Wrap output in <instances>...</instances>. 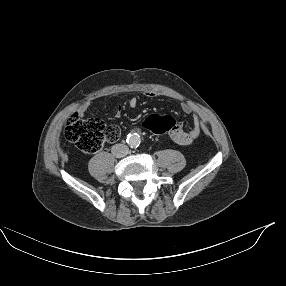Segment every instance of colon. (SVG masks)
<instances>
[{"label":"colon","mask_w":286,"mask_h":286,"mask_svg":"<svg viewBox=\"0 0 286 286\" xmlns=\"http://www.w3.org/2000/svg\"><path fill=\"white\" fill-rule=\"evenodd\" d=\"M177 125L168 113L151 112L142 121L143 129L153 136H167V132ZM120 135L121 129L117 125L106 126L97 118L83 119L77 114L72 115L65 126L66 138L87 154L98 152L107 142H116Z\"/></svg>","instance_id":"1"}]
</instances>
